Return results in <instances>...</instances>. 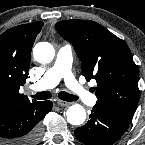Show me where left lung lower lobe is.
Listing matches in <instances>:
<instances>
[{
  "mask_svg": "<svg viewBox=\"0 0 145 145\" xmlns=\"http://www.w3.org/2000/svg\"><path fill=\"white\" fill-rule=\"evenodd\" d=\"M89 118L84 126L75 130L76 138L85 145H112L129 125V121L96 106Z\"/></svg>",
  "mask_w": 145,
  "mask_h": 145,
  "instance_id": "obj_1",
  "label": "left lung lower lobe"
}]
</instances>
